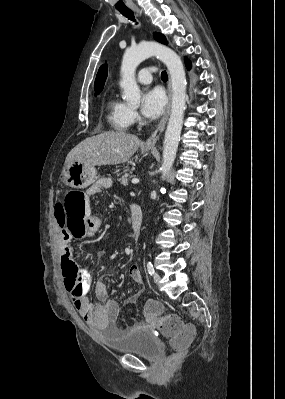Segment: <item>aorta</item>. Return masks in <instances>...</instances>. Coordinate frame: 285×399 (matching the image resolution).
<instances>
[{
    "instance_id": "1",
    "label": "aorta",
    "mask_w": 285,
    "mask_h": 399,
    "mask_svg": "<svg viewBox=\"0 0 285 399\" xmlns=\"http://www.w3.org/2000/svg\"><path fill=\"white\" fill-rule=\"evenodd\" d=\"M157 56L168 68L172 83V104L163 145L161 166L164 180L173 166L183 125L186 101V77L180 57L170 48L157 42H141L128 48L122 59L120 87L123 99L129 106L140 105L141 93L135 79L137 66L145 59Z\"/></svg>"
}]
</instances>
